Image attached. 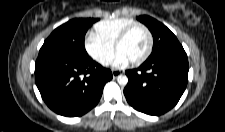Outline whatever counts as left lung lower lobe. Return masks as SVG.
Listing matches in <instances>:
<instances>
[{"label":"left lung lower lobe","instance_id":"1","mask_svg":"<svg viewBox=\"0 0 225 132\" xmlns=\"http://www.w3.org/2000/svg\"><path fill=\"white\" fill-rule=\"evenodd\" d=\"M188 70L185 52L147 59L138 69L125 72L129 79L124 89L127 102L145 114H164L182 96L188 82Z\"/></svg>","mask_w":225,"mask_h":132}]
</instances>
